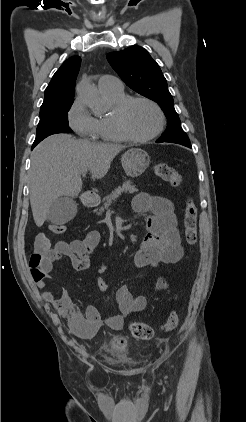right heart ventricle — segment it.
I'll return each instance as SVG.
<instances>
[{
  "mask_svg": "<svg viewBox=\"0 0 246 422\" xmlns=\"http://www.w3.org/2000/svg\"><path fill=\"white\" fill-rule=\"evenodd\" d=\"M104 96L114 106L126 97L124 91L120 92H103ZM98 120L99 139L105 142L120 143L126 141L122 134L116 128L112 114L109 116L101 117Z\"/></svg>",
  "mask_w": 246,
  "mask_h": 422,
  "instance_id": "obj_1",
  "label": "right heart ventricle"
}]
</instances>
